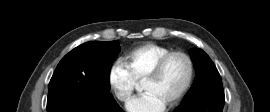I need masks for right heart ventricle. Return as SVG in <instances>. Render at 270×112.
I'll use <instances>...</instances> for the list:
<instances>
[{
	"label": "right heart ventricle",
	"mask_w": 270,
	"mask_h": 112,
	"mask_svg": "<svg viewBox=\"0 0 270 112\" xmlns=\"http://www.w3.org/2000/svg\"><path fill=\"white\" fill-rule=\"evenodd\" d=\"M172 49L163 45L148 43L129 51L125 58V65L137 82H143L156 63Z\"/></svg>",
	"instance_id": "e07e8e85"
}]
</instances>
